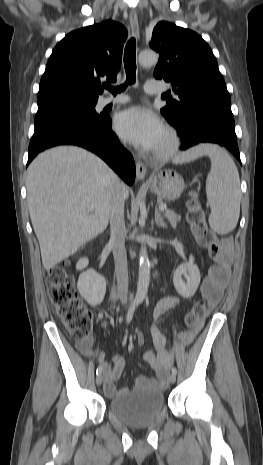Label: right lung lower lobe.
<instances>
[{"label":"right lung lower lobe","instance_id":"98d812e1","mask_svg":"<svg viewBox=\"0 0 263 465\" xmlns=\"http://www.w3.org/2000/svg\"><path fill=\"white\" fill-rule=\"evenodd\" d=\"M58 145L83 147L101 157L127 184L135 180L133 157L120 144L107 115L53 114L35 120L27 165L39 152Z\"/></svg>","mask_w":263,"mask_h":465}]
</instances>
